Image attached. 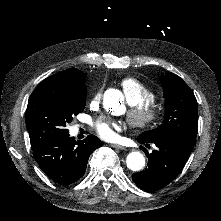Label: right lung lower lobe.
Returning a JSON list of instances; mask_svg holds the SVG:
<instances>
[{
	"label": "right lung lower lobe",
	"instance_id": "1",
	"mask_svg": "<svg viewBox=\"0 0 221 221\" xmlns=\"http://www.w3.org/2000/svg\"><path fill=\"white\" fill-rule=\"evenodd\" d=\"M101 145V140L93 135L76 142L68 134L31 148L45 174L54 182L68 186L84 175L90 154Z\"/></svg>",
	"mask_w": 221,
	"mask_h": 221
}]
</instances>
